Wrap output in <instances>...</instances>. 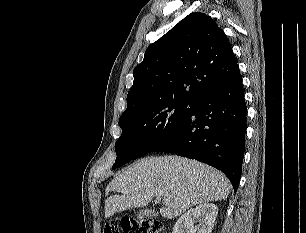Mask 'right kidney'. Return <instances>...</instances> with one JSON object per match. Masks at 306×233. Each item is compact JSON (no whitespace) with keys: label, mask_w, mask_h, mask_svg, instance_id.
<instances>
[{"label":"right kidney","mask_w":306,"mask_h":233,"mask_svg":"<svg viewBox=\"0 0 306 233\" xmlns=\"http://www.w3.org/2000/svg\"><path fill=\"white\" fill-rule=\"evenodd\" d=\"M217 213L218 208L215 204L208 202L199 204L177 220L172 233H211Z\"/></svg>","instance_id":"ca27d5eb"}]
</instances>
